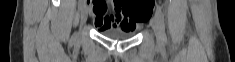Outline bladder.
I'll use <instances>...</instances> for the list:
<instances>
[{
	"instance_id": "1",
	"label": "bladder",
	"mask_w": 235,
	"mask_h": 62,
	"mask_svg": "<svg viewBox=\"0 0 235 62\" xmlns=\"http://www.w3.org/2000/svg\"><path fill=\"white\" fill-rule=\"evenodd\" d=\"M100 32L111 39L115 40H126L130 39L135 35V30H126L120 28H111V29H104L100 30Z\"/></svg>"
}]
</instances>
